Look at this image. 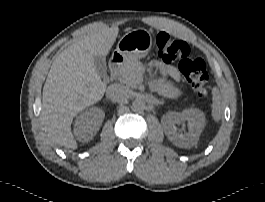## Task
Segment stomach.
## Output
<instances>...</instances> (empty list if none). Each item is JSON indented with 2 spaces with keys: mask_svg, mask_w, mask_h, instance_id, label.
Instances as JSON below:
<instances>
[{
  "mask_svg": "<svg viewBox=\"0 0 265 202\" xmlns=\"http://www.w3.org/2000/svg\"><path fill=\"white\" fill-rule=\"evenodd\" d=\"M152 47V36L146 29H134L127 32L118 42L116 52L124 60L144 58Z\"/></svg>",
  "mask_w": 265,
  "mask_h": 202,
  "instance_id": "obj_1",
  "label": "stomach"
}]
</instances>
